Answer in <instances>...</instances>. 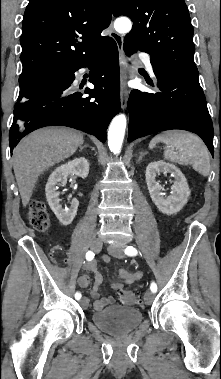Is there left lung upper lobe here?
I'll return each mask as SVG.
<instances>
[{
  "mask_svg": "<svg viewBox=\"0 0 221 379\" xmlns=\"http://www.w3.org/2000/svg\"><path fill=\"white\" fill-rule=\"evenodd\" d=\"M112 5L114 16L126 15L133 21L124 41L149 53L156 63L198 74L193 27L184 0H112Z\"/></svg>",
  "mask_w": 221,
  "mask_h": 379,
  "instance_id": "5c2ea615",
  "label": "left lung upper lobe"
}]
</instances>
